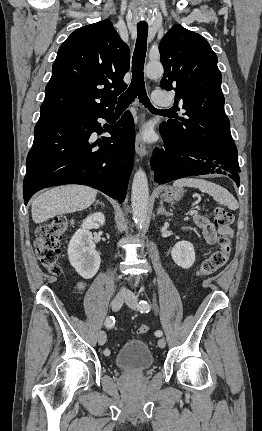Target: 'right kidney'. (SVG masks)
Here are the masks:
<instances>
[{"instance_id": "right-kidney-1", "label": "right kidney", "mask_w": 262, "mask_h": 431, "mask_svg": "<svg viewBox=\"0 0 262 431\" xmlns=\"http://www.w3.org/2000/svg\"><path fill=\"white\" fill-rule=\"evenodd\" d=\"M105 224V216L101 212L89 215L70 240L68 256L72 267L85 279L92 278L100 267V254L95 249L90 229H98Z\"/></svg>"}]
</instances>
